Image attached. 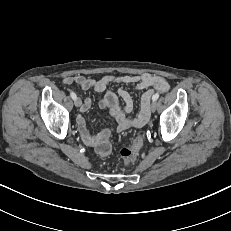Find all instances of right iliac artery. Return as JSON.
<instances>
[{
	"label": "right iliac artery",
	"mask_w": 231,
	"mask_h": 231,
	"mask_svg": "<svg viewBox=\"0 0 231 231\" xmlns=\"http://www.w3.org/2000/svg\"><path fill=\"white\" fill-rule=\"evenodd\" d=\"M70 96L73 100H75L77 98L76 94L74 92H71L70 93Z\"/></svg>",
	"instance_id": "obj_1"
}]
</instances>
